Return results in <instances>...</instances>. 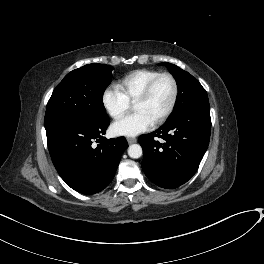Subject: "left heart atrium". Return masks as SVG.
Segmentation results:
<instances>
[{"mask_svg":"<svg viewBox=\"0 0 264 264\" xmlns=\"http://www.w3.org/2000/svg\"><path fill=\"white\" fill-rule=\"evenodd\" d=\"M154 121L143 112H135L113 124V131L117 135L133 137L149 130Z\"/></svg>","mask_w":264,"mask_h":264,"instance_id":"1","label":"left heart atrium"}]
</instances>
